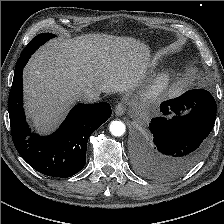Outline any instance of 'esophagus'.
<instances>
[{
	"label": "esophagus",
	"instance_id": "34e87169",
	"mask_svg": "<svg viewBox=\"0 0 224 224\" xmlns=\"http://www.w3.org/2000/svg\"><path fill=\"white\" fill-rule=\"evenodd\" d=\"M126 111V104L124 102H119L115 107V114L121 116Z\"/></svg>",
	"mask_w": 224,
	"mask_h": 224
}]
</instances>
